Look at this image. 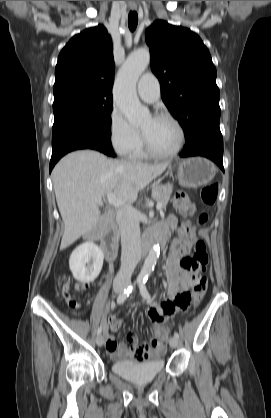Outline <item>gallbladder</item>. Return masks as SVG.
Returning a JSON list of instances; mask_svg holds the SVG:
<instances>
[{"label":"gallbladder","mask_w":271,"mask_h":418,"mask_svg":"<svg viewBox=\"0 0 271 418\" xmlns=\"http://www.w3.org/2000/svg\"><path fill=\"white\" fill-rule=\"evenodd\" d=\"M104 228V214L101 216L97 224L92 228V230L88 233L90 237H94L95 235L100 234Z\"/></svg>","instance_id":"1"}]
</instances>
